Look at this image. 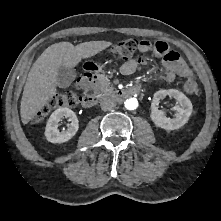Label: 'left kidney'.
Returning a JSON list of instances; mask_svg holds the SVG:
<instances>
[{
	"label": "left kidney",
	"instance_id": "5707ae66",
	"mask_svg": "<svg viewBox=\"0 0 221 221\" xmlns=\"http://www.w3.org/2000/svg\"><path fill=\"white\" fill-rule=\"evenodd\" d=\"M170 95L175 98L179 105L174 107L176 113L173 118L165 116L164 112L158 109L159 100L163 95ZM151 119L157 127L166 130H175L186 124L192 114V103L191 101L180 91L175 89L160 90L154 94L153 101L151 104Z\"/></svg>",
	"mask_w": 221,
	"mask_h": 221
}]
</instances>
